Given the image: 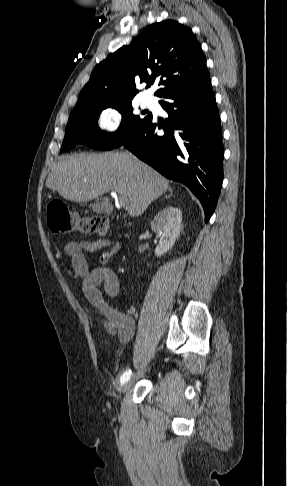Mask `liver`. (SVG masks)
I'll return each instance as SVG.
<instances>
[{
  "mask_svg": "<svg viewBox=\"0 0 287 486\" xmlns=\"http://www.w3.org/2000/svg\"><path fill=\"white\" fill-rule=\"evenodd\" d=\"M46 186L79 203L116 192L128 200V214L138 217L169 189V181L129 152H108L60 158Z\"/></svg>",
  "mask_w": 287,
  "mask_h": 486,
  "instance_id": "obj_1",
  "label": "liver"
}]
</instances>
